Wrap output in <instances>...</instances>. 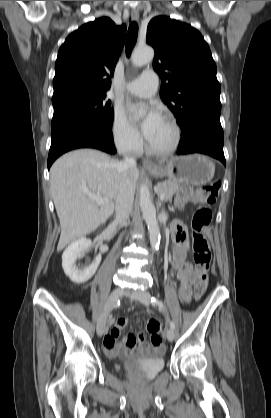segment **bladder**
Segmentation results:
<instances>
[{
  "label": "bladder",
  "instance_id": "1",
  "mask_svg": "<svg viewBox=\"0 0 271 418\" xmlns=\"http://www.w3.org/2000/svg\"><path fill=\"white\" fill-rule=\"evenodd\" d=\"M163 351L151 353L142 363V371L147 379H152L165 367Z\"/></svg>",
  "mask_w": 271,
  "mask_h": 418
}]
</instances>
